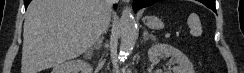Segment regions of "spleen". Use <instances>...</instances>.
Masks as SVG:
<instances>
[{
    "mask_svg": "<svg viewBox=\"0 0 244 73\" xmlns=\"http://www.w3.org/2000/svg\"><path fill=\"white\" fill-rule=\"evenodd\" d=\"M187 24L190 28V34L199 37L202 34L201 22L197 14L191 13L188 17Z\"/></svg>",
    "mask_w": 244,
    "mask_h": 73,
    "instance_id": "spleen-1",
    "label": "spleen"
}]
</instances>
